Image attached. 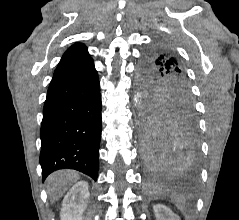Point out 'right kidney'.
<instances>
[{"label": "right kidney", "mask_w": 239, "mask_h": 220, "mask_svg": "<svg viewBox=\"0 0 239 220\" xmlns=\"http://www.w3.org/2000/svg\"><path fill=\"white\" fill-rule=\"evenodd\" d=\"M89 185L86 181L77 182L65 195L61 220H81L86 208L87 197L89 195Z\"/></svg>", "instance_id": "right-kidney-1"}]
</instances>
